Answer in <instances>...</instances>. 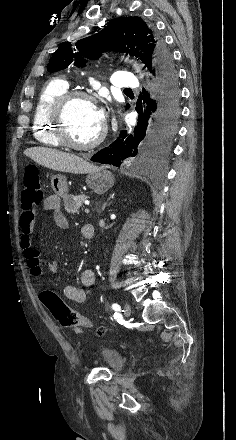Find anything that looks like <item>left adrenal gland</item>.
I'll use <instances>...</instances> for the list:
<instances>
[{
  "mask_svg": "<svg viewBox=\"0 0 236 440\" xmlns=\"http://www.w3.org/2000/svg\"><path fill=\"white\" fill-rule=\"evenodd\" d=\"M107 206V202L103 204L102 210Z\"/></svg>",
  "mask_w": 236,
  "mask_h": 440,
  "instance_id": "a2214340",
  "label": "left adrenal gland"
}]
</instances>
